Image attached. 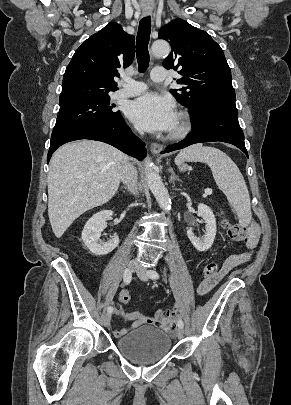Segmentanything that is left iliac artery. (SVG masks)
Here are the masks:
<instances>
[{
	"label": "left iliac artery",
	"instance_id": "44dca946",
	"mask_svg": "<svg viewBox=\"0 0 291 405\" xmlns=\"http://www.w3.org/2000/svg\"><path fill=\"white\" fill-rule=\"evenodd\" d=\"M147 274H148V276L151 278V279H158L159 278V274L156 272V271H154V270H149L148 272H147ZM178 327L179 328H183L184 327V323H183V321L181 320V319H179L178 320Z\"/></svg>",
	"mask_w": 291,
	"mask_h": 405
}]
</instances>
